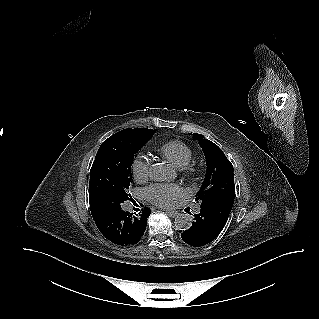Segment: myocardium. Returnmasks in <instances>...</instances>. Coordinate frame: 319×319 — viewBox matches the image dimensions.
Wrapping results in <instances>:
<instances>
[{
	"mask_svg": "<svg viewBox=\"0 0 319 319\" xmlns=\"http://www.w3.org/2000/svg\"><path fill=\"white\" fill-rule=\"evenodd\" d=\"M179 171L183 177L187 178L192 177L195 174V170L190 166L179 168Z\"/></svg>",
	"mask_w": 319,
	"mask_h": 319,
	"instance_id": "f54148a6",
	"label": "myocardium"
}]
</instances>
